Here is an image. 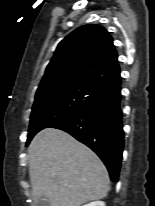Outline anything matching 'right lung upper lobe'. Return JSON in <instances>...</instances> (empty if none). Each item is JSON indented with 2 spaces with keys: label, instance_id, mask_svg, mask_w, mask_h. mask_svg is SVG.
Returning a JSON list of instances; mask_svg holds the SVG:
<instances>
[{
  "label": "right lung upper lobe",
  "instance_id": "1",
  "mask_svg": "<svg viewBox=\"0 0 155 206\" xmlns=\"http://www.w3.org/2000/svg\"><path fill=\"white\" fill-rule=\"evenodd\" d=\"M119 84L120 67L112 37L100 25H84L59 43L37 92L83 85L104 93Z\"/></svg>",
  "mask_w": 155,
  "mask_h": 206
}]
</instances>
